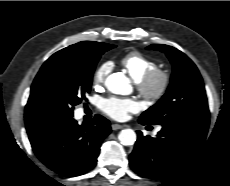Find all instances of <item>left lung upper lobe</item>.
Segmentation results:
<instances>
[{
    "label": "left lung upper lobe",
    "mask_w": 230,
    "mask_h": 186,
    "mask_svg": "<svg viewBox=\"0 0 230 186\" xmlns=\"http://www.w3.org/2000/svg\"><path fill=\"white\" fill-rule=\"evenodd\" d=\"M147 49L164 52L173 65V73L166 94L139 120L164 125L183 119H209L204 84L195 64L171 46L153 44Z\"/></svg>",
    "instance_id": "obj_1"
}]
</instances>
